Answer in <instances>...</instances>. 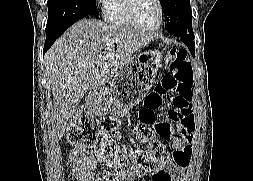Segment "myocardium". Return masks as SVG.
I'll list each match as a JSON object with an SVG mask.
<instances>
[{"instance_id":"myocardium-1","label":"myocardium","mask_w":253,"mask_h":181,"mask_svg":"<svg viewBox=\"0 0 253 181\" xmlns=\"http://www.w3.org/2000/svg\"><path fill=\"white\" fill-rule=\"evenodd\" d=\"M156 1H157L158 7H159V12H160L159 22L154 27H147V26L143 25L137 17V14H136L137 0H126L127 14L135 27H137L141 30H144V31H151V32L157 31L162 27V25L164 23V17H165L164 4H163L162 0H156Z\"/></svg>"}]
</instances>
